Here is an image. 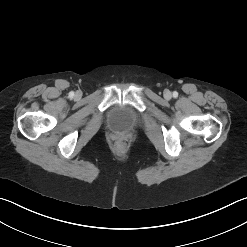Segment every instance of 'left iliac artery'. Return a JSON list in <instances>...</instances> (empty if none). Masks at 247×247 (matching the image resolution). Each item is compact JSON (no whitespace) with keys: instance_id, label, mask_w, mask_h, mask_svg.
<instances>
[{"instance_id":"44dca946","label":"left iliac artery","mask_w":247,"mask_h":247,"mask_svg":"<svg viewBox=\"0 0 247 247\" xmlns=\"http://www.w3.org/2000/svg\"><path fill=\"white\" fill-rule=\"evenodd\" d=\"M173 97L177 98L178 97V93L176 91L173 92Z\"/></svg>"}]
</instances>
